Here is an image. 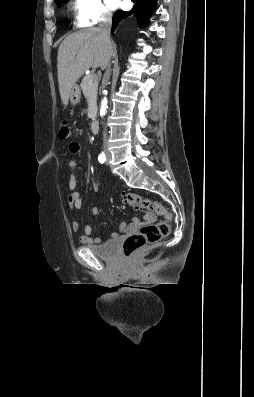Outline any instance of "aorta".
I'll return each mask as SVG.
<instances>
[{
    "label": "aorta",
    "mask_w": 254,
    "mask_h": 397,
    "mask_svg": "<svg viewBox=\"0 0 254 397\" xmlns=\"http://www.w3.org/2000/svg\"><path fill=\"white\" fill-rule=\"evenodd\" d=\"M106 109H107V99L106 97H104V99L101 102L100 116L105 115Z\"/></svg>",
    "instance_id": "1"
}]
</instances>
